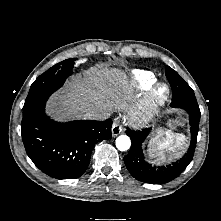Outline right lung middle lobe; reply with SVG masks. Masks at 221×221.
Listing matches in <instances>:
<instances>
[{
	"instance_id": "right-lung-middle-lobe-1",
	"label": "right lung middle lobe",
	"mask_w": 221,
	"mask_h": 221,
	"mask_svg": "<svg viewBox=\"0 0 221 221\" xmlns=\"http://www.w3.org/2000/svg\"><path fill=\"white\" fill-rule=\"evenodd\" d=\"M74 59L64 60L38 77L30 87L23 107V115L43 105L49 96L59 89L72 74Z\"/></svg>"
}]
</instances>
